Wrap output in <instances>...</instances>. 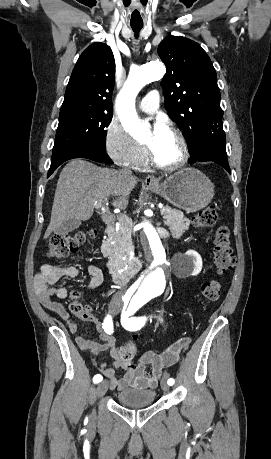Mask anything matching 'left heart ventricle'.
Returning <instances> with one entry per match:
<instances>
[{
	"mask_svg": "<svg viewBox=\"0 0 271 459\" xmlns=\"http://www.w3.org/2000/svg\"><path fill=\"white\" fill-rule=\"evenodd\" d=\"M145 144L161 159L171 160L178 154V144L169 131H165L156 136L153 130H150L145 139Z\"/></svg>",
	"mask_w": 271,
	"mask_h": 459,
	"instance_id": "1",
	"label": "left heart ventricle"
}]
</instances>
